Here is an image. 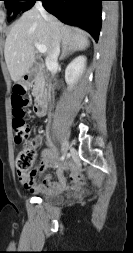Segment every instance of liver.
Returning <instances> with one entry per match:
<instances>
[{"label": "liver", "instance_id": "6515ba94", "mask_svg": "<svg viewBox=\"0 0 133 253\" xmlns=\"http://www.w3.org/2000/svg\"><path fill=\"white\" fill-rule=\"evenodd\" d=\"M58 31L59 39L72 50H83L89 45L86 34L73 29L51 16ZM46 46L47 55L52 49V35L47 21L33 8L25 12L12 26L7 35L4 56L11 79L17 82L32 67L35 61L34 43Z\"/></svg>", "mask_w": 133, "mask_h": 253}]
</instances>
